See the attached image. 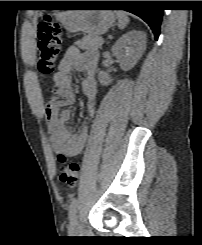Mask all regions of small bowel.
Wrapping results in <instances>:
<instances>
[{
  "mask_svg": "<svg viewBox=\"0 0 202 245\" xmlns=\"http://www.w3.org/2000/svg\"><path fill=\"white\" fill-rule=\"evenodd\" d=\"M96 66L95 54L82 52L77 47L71 46L66 50L59 64V70L53 77L55 96L45 105V117L50 131L51 148L56 155L77 156L85 146L87 126H82L76 133L71 132L67 124L72 113L64 107L75 102L71 73L73 71L85 73L81 90L87 98L86 117L90 118L93 115L98 93Z\"/></svg>",
  "mask_w": 202,
  "mask_h": 245,
  "instance_id": "c3829d8e",
  "label": "small bowel"
}]
</instances>
